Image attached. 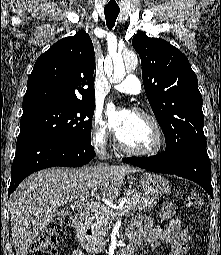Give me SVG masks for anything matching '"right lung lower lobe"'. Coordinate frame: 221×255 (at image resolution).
Returning <instances> with one entry per match:
<instances>
[{"instance_id": "98d812e1", "label": "right lung lower lobe", "mask_w": 221, "mask_h": 255, "mask_svg": "<svg viewBox=\"0 0 221 255\" xmlns=\"http://www.w3.org/2000/svg\"><path fill=\"white\" fill-rule=\"evenodd\" d=\"M95 157L91 144L70 143L41 135L20 133L11 167L10 195L33 172L53 167H79Z\"/></svg>"}]
</instances>
